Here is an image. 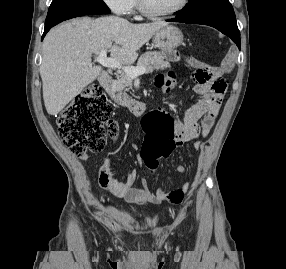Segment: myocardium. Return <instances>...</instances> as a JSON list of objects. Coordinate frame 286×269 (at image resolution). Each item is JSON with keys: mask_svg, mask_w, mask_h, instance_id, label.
Masks as SVG:
<instances>
[{"mask_svg": "<svg viewBox=\"0 0 286 269\" xmlns=\"http://www.w3.org/2000/svg\"><path fill=\"white\" fill-rule=\"evenodd\" d=\"M136 1H137L138 9L143 16L150 18V19H163V18L173 16L179 13L180 11H182L188 4L189 0H181L180 3L175 8L169 11L160 12V13L149 10L144 0H136Z\"/></svg>", "mask_w": 286, "mask_h": 269, "instance_id": "1", "label": "myocardium"}]
</instances>
